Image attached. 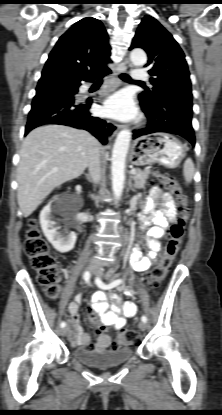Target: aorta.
Listing matches in <instances>:
<instances>
[{
    "label": "aorta",
    "mask_w": 222,
    "mask_h": 415,
    "mask_svg": "<svg viewBox=\"0 0 222 415\" xmlns=\"http://www.w3.org/2000/svg\"><path fill=\"white\" fill-rule=\"evenodd\" d=\"M130 59L134 66L140 67L146 64L147 56L142 49H134L130 53ZM131 140L129 129L121 130L115 140L112 150V190L115 198L118 200L123 192L125 180V162Z\"/></svg>",
    "instance_id": "1"
}]
</instances>
